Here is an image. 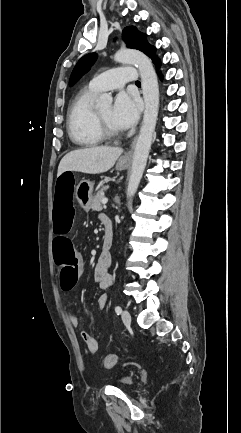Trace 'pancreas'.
<instances>
[{"instance_id":"cf45deb5","label":"pancreas","mask_w":241,"mask_h":433,"mask_svg":"<svg viewBox=\"0 0 241 433\" xmlns=\"http://www.w3.org/2000/svg\"><path fill=\"white\" fill-rule=\"evenodd\" d=\"M104 198V189L99 190L93 198L91 203V208L93 211L102 210V199Z\"/></svg>"}]
</instances>
